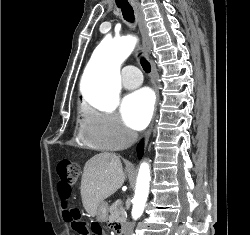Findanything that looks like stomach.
Returning a JSON list of instances; mask_svg holds the SVG:
<instances>
[{"label":"stomach","instance_id":"obj_1","mask_svg":"<svg viewBox=\"0 0 250 235\" xmlns=\"http://www.w3.org/2000/svg\"><path fill=\"white\" fill-rule=\"evenodd\" d=\"M108 216V205L106 202H101L98 206L96 219L99 222H105Z\"/></svg>","mask_w":250,"mask_h":235}]
</instances>
